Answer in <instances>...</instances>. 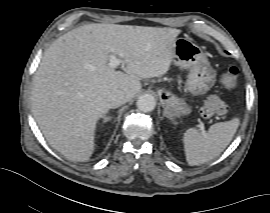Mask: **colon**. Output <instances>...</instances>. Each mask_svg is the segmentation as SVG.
I'll return each mask as SVG.
<instances>
[{"mask_svg": "<svg viewBox=\"0 0 270 213\" xmlns=\"http://www.w3.org/2000/svg\"><path fill=\"white\" fill-rule=\"evenodd\" d=\"M221 85L226 90L234 89L238 83V69L229 68L221 77ZM228 110L227 104L217 96H208L203 99L201 114L205 118L217 119L223 116Z\"/></svg>", "mask_w": 270, "mask_h": 213, "instance_id": "obj_1", "label": "colon"}]
</instances>
